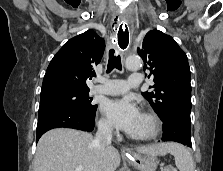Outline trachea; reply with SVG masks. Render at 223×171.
I'll return each mask as SVG.
<instances>
[{
  "label": "trachea",
  "mask_w": 223,
  "mask_h": 171,
  "mask_svg": "<svg viewBox=\"0 0 223 171\" xmlns=\"http://www.w3.org/2000/svg\"><path fill=\"white\" fill-rule=\"evenodd\" d=\"M122 70L120 55H115L114 50L109 51V61L107 66V73L111 72L113 69Z\"/></svg>",
  "instance_id": "obj_1"
}]
</instances>
